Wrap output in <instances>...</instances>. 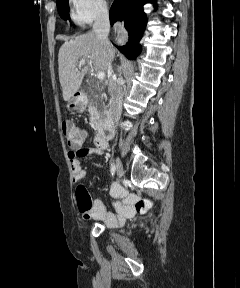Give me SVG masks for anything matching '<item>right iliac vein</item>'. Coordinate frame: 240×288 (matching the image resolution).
Returning <instances> with one entry per match:
<instances>
[{"label":"right iliac vein","instance_id":"1","mask_svg":"<svg viewBox=\"0 0 240 288\" xmlns=\"http://www.w3.org/2000/svg\"><path fill=\"white\" fill-rule=\"evenodd\" d=\"M114 168L117 174V182H119L121 177L123 176V166L118 157L115 160Z\"/></svg>","mask_w":240,"mask_h":288}]
</instances>
